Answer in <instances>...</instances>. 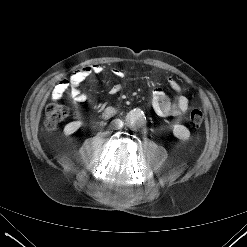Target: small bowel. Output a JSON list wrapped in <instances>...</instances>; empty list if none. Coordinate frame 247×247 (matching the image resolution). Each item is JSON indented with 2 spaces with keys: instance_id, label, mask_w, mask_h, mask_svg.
<instances>
[{
  "instance_id": "small-bowel-1",
  "label": "small bowel",
  "mask_w": 247,
  "mask_h": 247,
  "mask_svg": "<svg viewBox=\"0 0 247 247\" xmlns=\"http://www.w3.org/2000/svg\"><path fill=\"white\" fill-rule=\"evenodd\" d=\"M104 71L99 64H92L76 70L69 79L60 80L52 91L54 100L62 99L63 95L69 91L72 100L76 103H83L87 96L81 89V84L93 74H101ZM112 74L121 79L123 72L118 68L111 70ZM168 83L174 91L179 90V85L174 78H169ZM123 89L122 83L113 84L109 92L112 95L118 94ZM152 106L155 113L160 117L179 116L188 108V99L180 96L175 102H172L168 94L160 87L154 89L152 94Z\"/></svg>"
}]
</instances>
